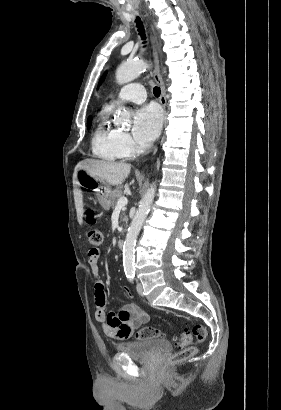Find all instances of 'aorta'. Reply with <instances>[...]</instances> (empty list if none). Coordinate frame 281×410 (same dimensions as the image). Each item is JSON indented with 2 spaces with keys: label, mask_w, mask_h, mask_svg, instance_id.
<instances>
[{
  "label": "aorta",
  "mask_w": 281,
  "mask_h": 410,
  "mask_svg": "<svg viewBox=\"0 0 281 410\" xmlns=\"http://www.w3.org/2000/svg\"><path fill=\"white\" fill-rule=\"evenodd\" d=\"M148 67L145 61H134L122 63L116 70V81L119 84H125L136 79ZM130 120V115L123 107H119L116 111L114 122L117 125H127ZM156 186L151 185L144 194L139 208L128 228V232L123 245V267L126 274H134L135 267V245L136 240L141 230V227L148 215L151 204L154 200Z\"/></svg>",
  "instance_id": "aorta-1"
}]
</instances>
